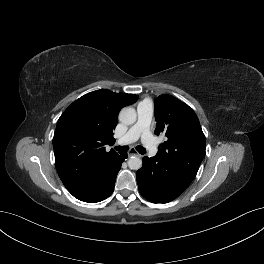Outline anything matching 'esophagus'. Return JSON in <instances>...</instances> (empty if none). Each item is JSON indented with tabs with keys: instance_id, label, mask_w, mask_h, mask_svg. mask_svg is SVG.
Segmentation results:
<instances>
[{
	"instance_id": "esophagus-1",
	"label": "esophagus",
	"mask_w": 264,
	"mask_h": 264,
	"mask_svg": "<svg viewBox=\"0 0 264 264\" xmlns=\"http://www.w3.org/2000/svg\"><path fill=\"white\" fill-rule=\"evenodd\" d=\"M127 154H128L129 157H131V156H140V154L135 149H130Z\"/></svg>"
}]
</instances>
